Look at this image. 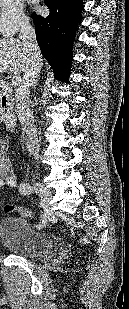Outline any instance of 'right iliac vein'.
Returning a JSON list of instances; mask_svg holds the SVG:
<instances>
[{"label": "right iliac vein", "mask_w": 129, "mask_h": 309, "mask_svg": "<svg viewBox=\"0 0 129 309\" xmlns=\"http://www.w3.org/2000/svg\"><path fill=\"white\" fill-rule=\"evenodd\" d=\"M34 190L41 197L42 201L47 205L49 200L51 199L50 190L48 188H46L45 185H43L40 182H37V183L34 184ZM47 216H49L48 210H47ZM47 216L45 217V220L42 221V224L40 225V227H44L46 225Z\"/></svg>", "instance_id": "obj_1"}]
</instances>
